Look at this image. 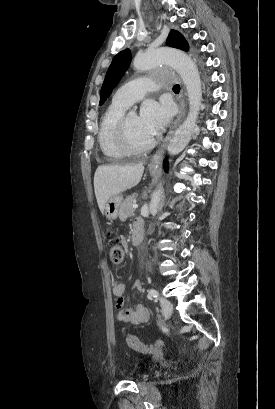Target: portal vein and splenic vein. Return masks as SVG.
Returning a JSON list of instances; mask_svg holds the SVG:
<instances>
[{
  "instance_id": "18ae733b",
  "label": "portal vein and splenic vein",
  "mask_w": 275,
  "mask_h": 409,
  "mask_svg": "<svg viewBox=\"0 0 275 409\" xmlns=\"http://www.w3.org/2000/svg\"><path fill=\"white\" fill-rule=\"evenodd\" d=\"M133 209H137L138 205H132Z\"/></svg>"
}]
</instances>
